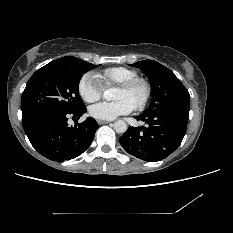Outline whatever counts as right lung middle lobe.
Here are the masks:
<instances>
[{
  "label": "right lung middle lobe",
  "mask_w": 233,
  "mask_h": 233,
  "mask_svg": "<svg viewBox=\"0 0 233 233\" xmlns=\"http://www.w3.org/2000/svg\"><path fill=\"white\" fill-rule=\"evenodd\" d=\"M98 66L67 56L37 70L22 94V120L50 110L77 112L85 108L79 82L82 74Z\"/></svg>",
  "instance_id": "dd1d6c3e"
}]
</instances>
